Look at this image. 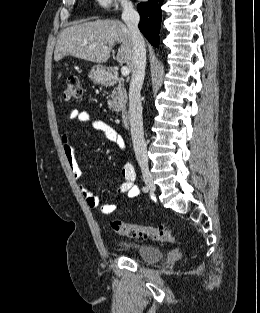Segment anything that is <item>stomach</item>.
Instances as JSON below:
<instances>
[{"label": "stomach", "instance_id": "stomach-1", "mask_svg": "<svg viewBox=\"0 0 260 313\" xmlns=\"http://www.w3.org/2000/svg\"><path fill=\"white\" fill-rule=\"evenodd\" d=\"M89 78L97 84H103L106 83L109 79V73L105 69V67L101 65H95L92 67Z\"/></svg>", "mask_w": 260, "mask_h": 313}]
</instances>
